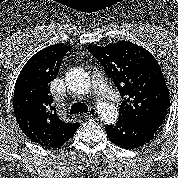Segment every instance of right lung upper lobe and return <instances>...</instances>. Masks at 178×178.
Masks as SVG:
<instances>
[{
	"mask_svg": "<svg viewBox=\"0 0 178 178\" xmlns=\"http://www.w3.org/2000/svg\"><path fill=\"white\" fill-rule=\"evenodd\" d=\"M71 48L55 44L42 49L27 61L15 85L13 108L16 120L27 137L44 147L63 145L80 126V123H71L58 115L50 93V84Z\"/></svg>",
	"mask_w": 178,
	"mask_h": 178,
	"instance_id": "cb5924a9",
	"label": "right lung upper lobe"
}]
</instances>
